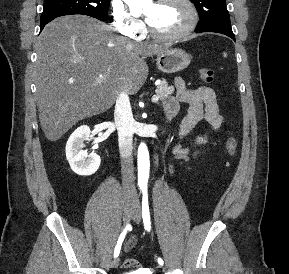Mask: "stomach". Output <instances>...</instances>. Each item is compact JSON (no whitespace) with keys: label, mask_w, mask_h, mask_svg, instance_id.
Wrapping results in <instances>:
<instances>
[{"label":"stomach","mask_w":289,"mask_h":274,"mask_svg":"<svg viewBox=\"0 0 289 274\" xmlns=\"http://www.w3.org/2000/svg\"><path fill=\"white\" fill-rule=\"evenodd\" d=\"M189 55L182 49H166L157 55V68L163 73H176L190 64Z\"/></svg>","instance_id":"0dacf381"}]
</instances>
